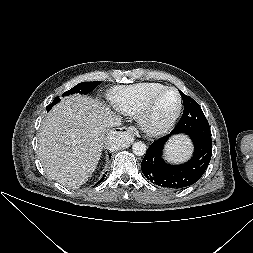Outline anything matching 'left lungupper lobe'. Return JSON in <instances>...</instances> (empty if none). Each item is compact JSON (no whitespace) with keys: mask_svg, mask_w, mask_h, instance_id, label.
<instances>
[{"mask_svg":"<svg viewBox=\"0 0 253 253\" xmlns=\"http://www.w3.org/2000/svg\"><path fill=\"white\" fill-rule=\"evenodd\" d=\"M183 103V115L175 127L178 133L198 134L211 138L209 123L199 104L191 97L180 92Z\"/></svg>","mask_w":253,"mask_h":253,"instance_id":"1","label":"left lung upper lobe"}]
</instances>
